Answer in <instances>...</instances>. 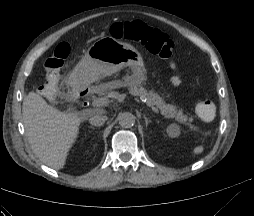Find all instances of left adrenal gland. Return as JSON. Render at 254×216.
<instances>
[{
  "label": "left adrenal gland",
  "instance_id": "a2214340",
  "mask_svg": "<svg viewBox=\"0 0 254 216\" xmlns=\"http://www.w3.org/2000/svg\"><path fill=\"white\" fill-rule=\"evenodd\" d=\"M143 118L145 119V124H146V127H148L150 121L148 119V117L146 115H143Z\"/></svg>",
  "mask_w": 254,
  "mask_h": 216
}]
</instances>
